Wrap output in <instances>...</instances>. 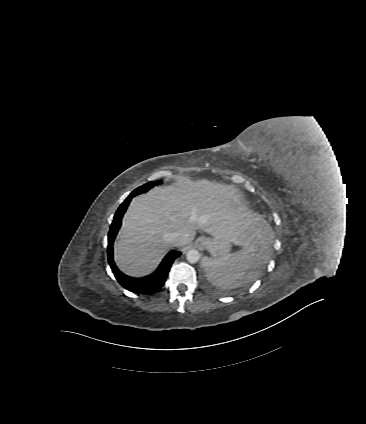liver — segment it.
I'll return each instance as SVG.
<instances>
[{"label": "liver", "mask_w": 366, "mask_h": 424, "mask_svg": "<svg viewBox=\"0 0 366 424\" xmlns=\"http://www.w3.org/2000/svg\"><path fill=\"white\" fill-rule=\"evenodd\" d=\"M237 246L265 245L271 228L241 202L233 185L207 179H182L134 198L114 245V260L128 276L151 273L173 247L169 237L184 230L190 243L197 230Z\"/></svg>", "instance_id": "6515ba94"}]
</instances>
